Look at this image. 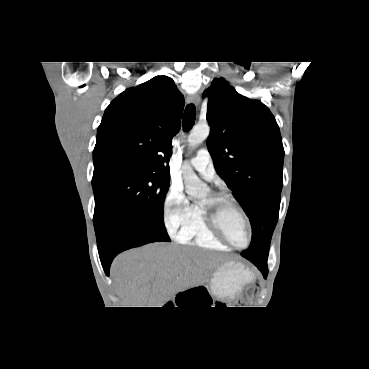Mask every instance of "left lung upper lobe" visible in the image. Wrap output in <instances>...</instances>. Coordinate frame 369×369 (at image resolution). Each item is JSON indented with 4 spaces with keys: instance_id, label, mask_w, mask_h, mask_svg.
<instances>
[{
    "instance_id": "1",
    "label": "left lung upper lobe",
    "mask_w": 369,
    "mask_h": 369,
    "mask_svg": "<svg viewBox=\"0 0 369 369\" xmlns=\"http://www.w3.org/2000/svg\"><path fill=\"white\" fill-rule=\"evenodd\" d=\"M211 87L204 92L209 96L208 150L252 227L251 244L241 255L267 262L283 185L279 127L263 103L240 95L223 79H214Z\"/></svg>"
}]
</instances>
